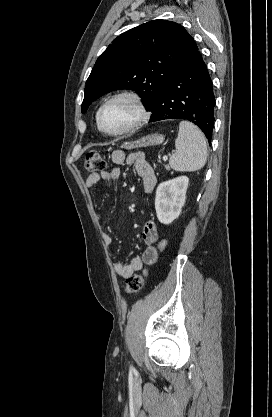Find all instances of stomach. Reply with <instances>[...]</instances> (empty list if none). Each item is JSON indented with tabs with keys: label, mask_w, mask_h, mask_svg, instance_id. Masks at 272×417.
I'll return each instance as SVG.
<instances>
[{
	"label": "stomach",
	"mask_w": 272,
	"mask_h": 417,
	"mask_svg": "<svg viewBox=\"0 0 272 417\" xmlns=\"http://www.w3.org/2000/svg\"><path fill=\"white\" fill-rule=\"evenodd\" d=\"M164 137L160 134H151L145 137H142L141 139H138L134 142L128 143L126 145L127 148H139V147H147L152 145H160L163 143Z\"/></svg>",
	"instance_id": "0dacf381"
}]
</instances>
